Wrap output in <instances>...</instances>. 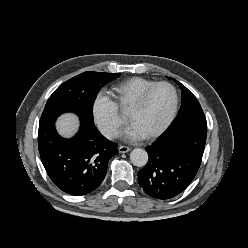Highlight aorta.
<instances>
[{"label":"aorta","mask_w":248,"mask_h":248,"mask_svg":"<svg viewBox=\"0 0 248 248\" xmlns=\"http://www.w3.org/2000/svg\"><path fill=\"white\" fill-rule=\"evenodd\" d=\"M130 160L135 166H145L148 162V153L144 149L136 148L130 153Z\"/></svg>","instance_id":"obj_1"}]
</instances>
